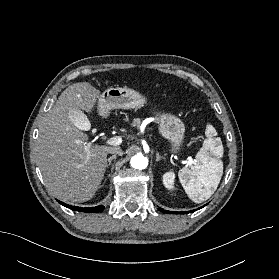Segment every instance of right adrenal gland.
<instances>
[{"mask_svg":"<svg viewBox=\"0 0 279 279\" xmlns=\"http://www.w3.org/2000/svg\"><path fill=\"white\" fill-rule=\"evenodd\" d=\"M115 159H116V155H112V156L108 159L107 166H106L107 169H108V167L111 165L112 160H115ZM113 169H114V165L112 164L111 172H113ZM110 175H111V174H110Z\"/></svg>","mask_w":279,"mask_h":279,"instance_id":"2a0ac1e0","label":"right adrenal gland"}]
</instances>
